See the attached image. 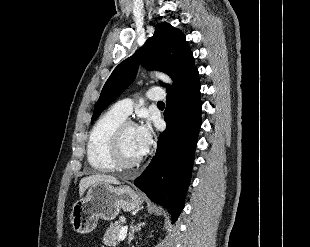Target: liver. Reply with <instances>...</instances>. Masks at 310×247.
<instances>
[{
    "instance_id": "liver-1",
    "label": "liver",
    "mask_w": 310,
    "mask_h": 247,
    "mask_svg": "<svg viewBox=\"0 0 310 247\" xmlns=\"http://www.w3.org/2000/svg\"><path fill=\"white\" fill-rule=\"evenodd\" d=\"M96 183H106V184H116L118 185L120 182L117 178L111 175L106 174H94L90 176H86L80 180L79 183V194L82 196L87 188Z\"/></svg>"
}]
</instances>
